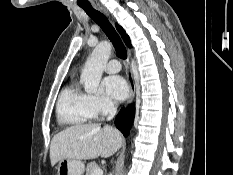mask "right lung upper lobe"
Listing matches in <instances>:
<instances>
[{"label":"right lung upper lobe","mask_w":233,"mask_h":175,"mask_svg":"<svg viewBox=\"0 0 233 175\" xmlns=\"http://www.w3.org/2000/svg\"><path fill=\"white\" fill-rule=\"evenodd\" d=\"M116 28L119 31V33L121 34V36H122L124 42L126 43V45L128 47H131V42H130L129 36L126 34L124 29L121 26H119L118 24H116Z\"/></svg>","instance_id":"right-lung-upper-lobe-1"}]
</instances>
